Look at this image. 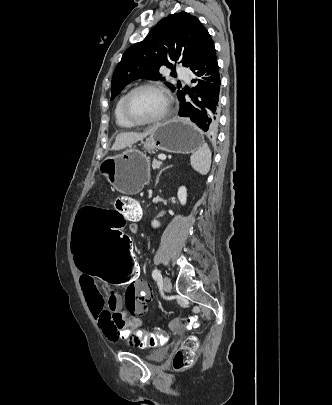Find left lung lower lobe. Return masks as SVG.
<instances>
[{
  "label": "left lung lower lobe",
  "instance_id": "obj_1",
  "mask_svg": "<svg viewBox=\"0 0 332 405\" xmlns=\"http://www.w3.org/2000/svg\"><path fill=\"white\" fill-rule=\"evenodd\" d=\"M192 90H183L179 95V116L189 117L203 131L213 134L219 121L220 76L214 43L191 68ZM185 94L192 100L187 101Z\"/></svg>",
  "mask_w": 332,
  "mask_h": 405
}]
</instances>
